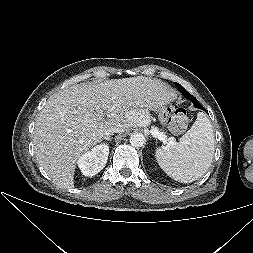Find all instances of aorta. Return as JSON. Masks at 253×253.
I'll list each match as a JSON object with an SVG mask.
<instances>
[{
    "instance_id": "762f6f07",
    "label": "aorta",
    "mask_w": 253,
    "mask_h": 253,
    "mask_svg": "<svg viewBox=\"0 0 253 253\" xmlns=\"http://www.w3.org/2000/svg\"><path fill=\"white\" fill-rule=\"evenodd\" d=\"M130 143L133 147H142L145 143V137L141 133H134L130 137Z\"/></svg>"
}]
</instances>
